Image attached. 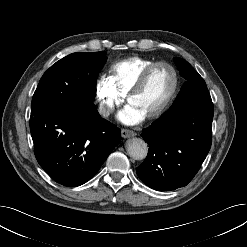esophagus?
<instances>
[{"label":"esophagus","mask_w":247,"mask_h":247,"mask_svg":"<svg viewBox=\"0 0 247 247\" xmlns=\"http://www.w3.org/2000/svg\"><path fill=\"white\" fill-rule=\"evenodd\" d=\"M121 135L123 138H129L132 136H135L136 133L134 131L128 130V129H122L121 130Z\"/></svg>","instance_id":"34e87169"}]
</instances>
